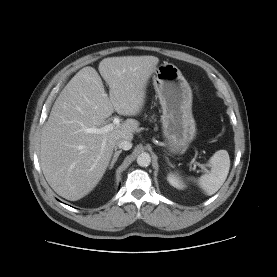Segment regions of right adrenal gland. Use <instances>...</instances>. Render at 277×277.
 I'll use <instances>...</instances> for the list:
<instances>
[{
  "label": "right adrenal gland",
  "instance_id": "obj_1",
  "mask_svg": "<svg viewBox=\"0 0 277 277\" xmlns=\"http://www.w3.org/2000/svg\"><path fill=\"white\" fill-rule=\"evenodd\" d=\"M121 153H122V150L115 151V153H114V155H113V158H112V161H111V163H110V165H109V169H112V168H113L115 162L117 161V159H118V157H119V155H120Z\"/></svg>",
  "mask_w": 277,
  "mask_h": 277
}]
</instances>
